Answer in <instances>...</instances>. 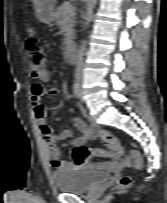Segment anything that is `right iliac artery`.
I'll use <instances>...</instances> for the list:
<instances>
[{"mask_svg": "<svg viewBox=\"0 0 167 203\" xmlns=\"http://www.w3.org/2000/svg\"><path fill=\"white\" fill-rule=\"evenodd\" d=\"M73 93H74V96L76 98H80V90H79V85L77 82L74 83V86H73Z\"/></svg>", "mask_w": 167, "mask_h": 203, "instance_id": "obj_1", "label": "right iliac artery"}]
</instances>
